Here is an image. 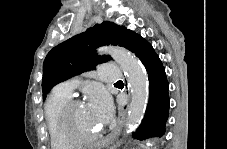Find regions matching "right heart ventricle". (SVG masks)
<instances>
[{
  "instance_id": "e07e8e85",
  "label": "right heart ventricle",
  "mask_w": 227,
  "mask_h": 149,
  "mask_svg": "<svg viewBox=\"0 0 227 149\" xmlns=\"http://www.w3.org/2000/svg\"><path fill=\"white\" fill-rule=\"evenodd\" d=\"M69 101L70 95L54 90L45 103L44 113L52 149H69L75 145L63 136L59 122L60 112Z\"/></svg>"
}]
</instances>
